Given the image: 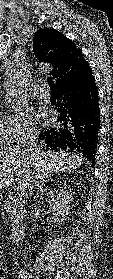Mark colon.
I'll return each instance as SVG.
<instances>
[{
	"mask_svg": "<svg viewBox=\"0 0 113 279\" xmlns=\"http://www.w3.org/2000/svg\"><path fill=\"white\" fill-rule=\"evenodd\" d=\"M0 275H1V266H0Z\"/></svg>",
	"mask_w": 113,
	"mask_h": 279,
	"instance_id": "5ec220e1",
	"label": "colon"
}]
</instances>
